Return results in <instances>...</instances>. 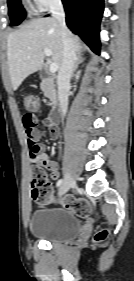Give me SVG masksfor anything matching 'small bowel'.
<instances>
[{
    "label": "small bowel",
    "mask_w": 134,
    "mask_h": 281,
    "mask_svg": "<svg viewBox=\"0 0 134 281\" xmlns=\"http://www.w3.org/2000/svg\"><path fill=\"white\" fill-rule=\"evenodd\" d=\"M23 125L28 141L30 162L34 167H41L50 171L51 180H57L59 177L58 165L46 154V145L40 141L41 133L39 125H47L49 128L50 138H58L57 128L38 118L35 114L27 112L23 115Z\"/></svg>",
    "instance_id": "c3829d8e"
}]
</instances>
